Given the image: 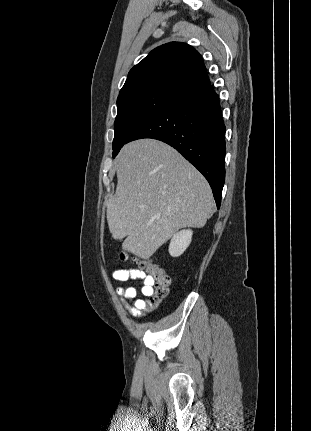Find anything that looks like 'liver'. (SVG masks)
Segmentation results:
<instances>
[{
  "label": "liver",
  "mask_w": 311,
  "mask_h": 431,
  "mask_svg": "<svg viewBox=\"0 0 311 431\" xmlns=\"http://www.w3.org/2000/svg\"><path fill=\"white\" fill-rule=\"evenodd\" d=\"M117 188L107 221L122 249L148 259L181 227H203L212 216V190L202 174L158 140L126 144L117 160Z\"/></svg>",
  "instance_id": "6515ba94"
}]
</instances>
